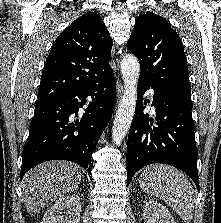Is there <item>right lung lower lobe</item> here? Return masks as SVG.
<instances>
[{
	"label": "right lung lower lobe",
	"mask_w": 221,
	"mask_h": 223,
	"mask_svg": "<svg viewBox=\"0 0 221 223\" xmlns=\"http://www.w3.org/2000/svg\"><path fill=\"white\" fill-rule=\"evenodd\" d=\"M116 99L112 69L79 90L35 107L23 148L21 178L49 160H70L91 175L92 153L108 124ZM88 105L83 114L79 108Z\"/></svg>",
	"instance_id": "98d812e1"
}]
</instances>
